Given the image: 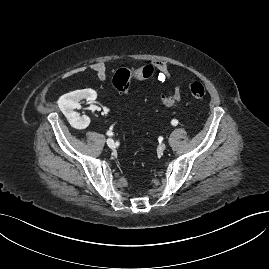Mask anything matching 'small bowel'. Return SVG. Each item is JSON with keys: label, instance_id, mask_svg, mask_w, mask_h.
Segmentation results:
<instances>
[{"label": "small bowel", "instance_id": "small-bowel-1", "mask_svg": "<svg viewBox=\"0 0 269 269\" xmlns=\"http://www.w3.org/2000/svg\"><path fill=\"white\" fill-rule=\"evenodd\" d=\"M152 65L158 72V80L161 83H167L171 78V70L169 65L162 60H154ZM89 69L92 70L100 80L107 78V68L104 63L94 62L89 65ZM134 77L140 78L141 68L134 69ZM158 101L166 107H173L181 100V91L178 86H171L165 93H161L157 97Z\"/></svg>", "mask_w": 269, "mask_h": 269}]
</instances>
